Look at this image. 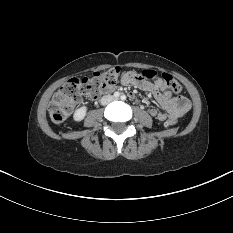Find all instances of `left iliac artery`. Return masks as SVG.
<instances>
[{"label":"left iliac artery","instance_id":"1","mask_svg":"<svg viewBox=\"0 0 233 233\" xmlns=\"http://www.w3.org/2000/svg\"><path fill=\"white\" fill-rule=\"evenodd\" d=\"M121 100H126V96L124 94L121 96Z\"/></svg>","mask_w":233,"mask_h":233}]
</instances>
